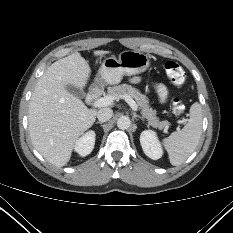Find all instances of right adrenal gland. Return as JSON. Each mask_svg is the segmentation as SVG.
I'll return each instance as SVG.
<instances>
[{
    "label": "right adrenal gland",
    "mask_w": 233,
    "mask_h": 233,
    "mask_svg": "<svg viewBox=\"0 0 233 233\" xmlns=\"http://www.w3.org/2000/svg\"><path fill=\"white\" fill-rule=\"evenodd\" d=\"M96 124H101V125H102V124H103V122L97 121V122H96Z\"/></svg>",
    "instance_id": "right-adrenal-gland-1"
}]
</instances>
